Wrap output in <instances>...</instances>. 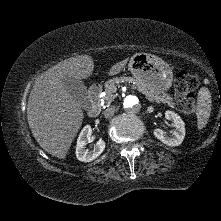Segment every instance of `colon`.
I'll return each instance as SVG.
<instances>
[{
	"label": "colon",
	"instance_id": "obj_1",
	"mask_svg": "<svg viewBox=\"0 0 221 221\" xmlns=\"http://www.w3.org/2000/svg\"><path fill=\"white\" fill-rule=\"evenodd\" d=\"M199 85L196 75L187 71H181L175 79V101L176 106L187 114L195 111L194 91Z\"/></svg>",
	"mask_w": 221,
	"mask_h": 221
}]
</instances>
